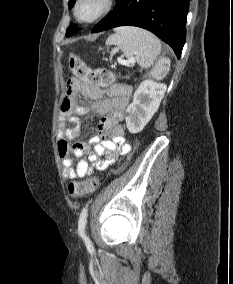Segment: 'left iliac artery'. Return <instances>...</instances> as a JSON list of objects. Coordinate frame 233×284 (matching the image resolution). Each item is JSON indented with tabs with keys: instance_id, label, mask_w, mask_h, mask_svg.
I'll list each match as a JSON object with an SVG mask.
<instances>
[{
	"instance_id": "44dca946",
	"label": "left iliac artery",
	"mask_w": 233,
	"mask_h": 284,
	"mask_svg": "<svg viewBox=\"0 0 233 284\" xmlns=\"http://www.w3.org/2000/svg\"><path fill=\"white\" fill-rule=\"evenodd\" d=\"M87 206L84 207L80 213L79 221H78V233L85 240L86 244H90L88 237L85 234V226L87 222Z\"/></svg>"
}]
</instances>
